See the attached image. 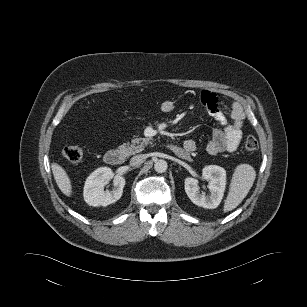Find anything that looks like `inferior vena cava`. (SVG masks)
<instances>
[{
	"label": "inferior vena cava",
	"instance_id": "obj_1",
	"mask_svg": "<svg viewBox=\"0 0 307 307\" xmlns=\"http://www.w3.org/2000/svg\"><path fill=\"white\" fill-rule=\"evenodd\" d=\"M146 158L147 157L144 154L133 156L130 160V165L131 166L141 165L146 160Z\"/></svg>",
	"mask_w": 307,
	"mask_h": 307
}]
</instances>
